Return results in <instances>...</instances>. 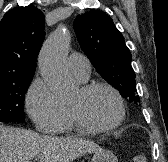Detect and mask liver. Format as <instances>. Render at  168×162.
Returning a JSON list of instances; mask_svg holds the SVG:
<instances>
[{"mask_svg":"<svg viewBox=\"0 0 168 162\" xmlns=\"http://www.w3.org/2000/svg\"><path fill=\"white\" fill-rule=\"evenodd\" d=\"M92 141L75 137H55L0 125V162H71L86 153L100 151Z\"/></svg>","mask_w":168,"mask_h":162,"instance_id":"6515ba94","label":"liver"}]
</instances>
